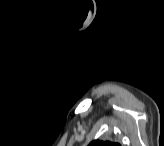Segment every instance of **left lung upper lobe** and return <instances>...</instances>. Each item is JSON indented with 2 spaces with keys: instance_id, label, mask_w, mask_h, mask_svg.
Wrapping results in <instances>:
<instances>
[{
  "instance_id": "1",
  "label": "left lung upper lobe",
  "mask_w": 164,
  "mask_h": 146,
  "mask_svg": "<svg viewBox=\"0 0 164 146\" xmlns=\"http://www.w3.org/2000/svg\"><path fill=\"white\" fill-rule=\"evenodd\" d=\"M89 146H120L118 143H113L110 141H99V140H94L92 141Z\"/></svg>"
}]
</instances>
